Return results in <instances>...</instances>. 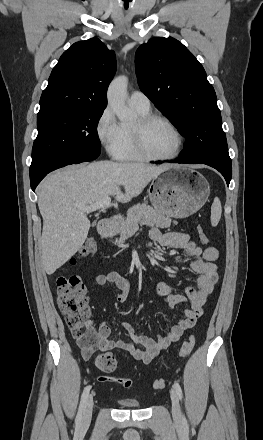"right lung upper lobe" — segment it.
I'll return each instance as SVG.
<instances>
[{
    "label": "right lung upper lobe",
    "instance_id": "obj_1",
    "mask_svg": "<svg viewBox=\"0 0 263 440\" xmlns=\"http://www.w3.org/2000/svg\"><path fill=\"white\" fill-rule=\"evenodd\" d=\"M116 71L113 51L94 37L74 43L60 57L40 98V111L104 108Z\"/></svg>",
    "mask_w": 263,
    "mask_h": 440
}]
</instances>
